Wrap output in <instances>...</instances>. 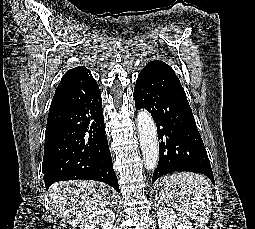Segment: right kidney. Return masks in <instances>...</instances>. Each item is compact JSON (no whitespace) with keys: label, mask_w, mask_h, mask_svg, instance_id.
<instances>
[{"label":"right kidney","mask_w":255,"mask_h":229,"mask_svg":"<svg viewBox=\"0 0 255 229\" xmlns=\"http://www.w3.org/2000/svg\"><path fill=\"white\" fill-rule=\"evenodd\" d=\"M115 214L109 208H101L93 211L81 222L80 229H112Z\"/></svg>","instance_id":"right-kidney-1"}]
</instances>
